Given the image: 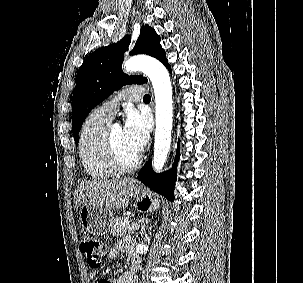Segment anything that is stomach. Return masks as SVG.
Listing matches in <instances>:
<instances>
[{"mask_svg":"<svg viewBox=\"0 0 303 283\" xmlns=\"http://www.w3.org/2000/svg\"><path fill=\"white\" fill-rule=\"evenodd\" d=\"M132 195L136 198L135 205L139 210L146 211L159 207L156 197L140 188L134 187ZM79 220L85 232L102 236L110 230L114 217L112 211L106 206L83 204L79 211Z\"/></svg>","mask_w":303,"mask_h":283,"instance_id":"obj_1","label":"stomach"}]
</instances>
